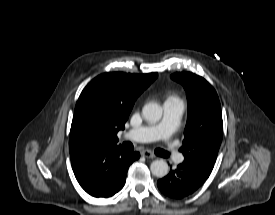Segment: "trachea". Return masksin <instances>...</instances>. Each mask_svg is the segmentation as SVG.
<instances>
[{
  "instance_id": "1",
  "label": "trachea",
  "mask_w": 275,
  "mask_h": 215,
  "mask_svg": "<svg viewBox=\"0 0 275 215\" xmlns=\"http://www.w3.org/2000/svg\"><path fill=\"white\" fill-rule=\"evenodd\" d=\"M158 156H161V157H164V158H167L169 155L166 151L162 150V149H158L156 150L155 152Z\"/></svg>"
}]
</instances>
